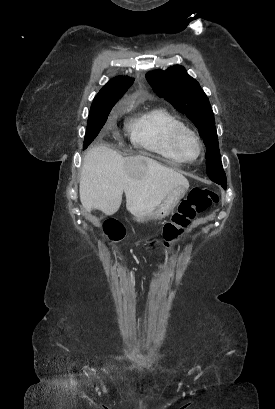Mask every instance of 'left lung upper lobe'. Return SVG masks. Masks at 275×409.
<instances>
[{
	"label": "left lung upper lobe",
	"mask_w": 275,
	"mask_h": 409,
	"mask_svg": "<svg viewBox=\"0 0 275 409\" xmlns=\"http://www.w3.org/2000/svg\"><path fill=\"white\" fill-rule=\"evenodd\" d=\"M149 84L158 96L170 102L185 114L201 133L207 152L206 167L209 178L226 186V175L222 168L214 114L209 100L199 83L189 76L184 67L176 65L165 71L154 70L146 74Z\"/></svg>",
	"instance_id": "obj_1"
}]
</instances>
